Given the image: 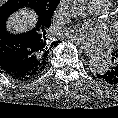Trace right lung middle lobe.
Listing matches in <instances>:
<instances>
[{
	"label": "right lung middle lobe",
	"instance_id": "dd1d6c3e",
	"mask_svg": "<svg viewBox=\"0 0 118 118\" xmlns=\"http://www.w3.org/2000/svg\"><path fill=\"white\" fill-rule=\"evenodd\" d=\"M60 0H8L0 7V24H5L7 18L23 7L33 9L38 15L36 26L51 23L52 15Z\"/></svg>",
	"mask_w": 118,
	"mask_h": 118
}]
</instances>
